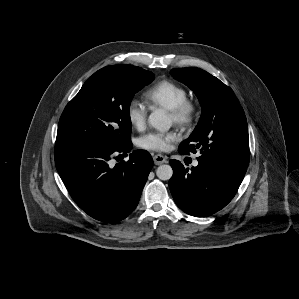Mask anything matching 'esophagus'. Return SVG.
Segmentation results:
<instances>
[{
    "instance_id": "obj_1",
    "label": "esophagus",
    "mask_w": 299,
    "mask_h": 299,
    "mask_svg": "<svg viewBox=\"0 0 299 299\" xmlns=\"http://www.w3.org/2000/svg\"><path fill=\"white\" fill-rule=\"evenodd\" d=\"M153 160L156 165H161L163 163H166L167 158L161 154H156L153 156Z\"/></svg>"
}]
</instances>
